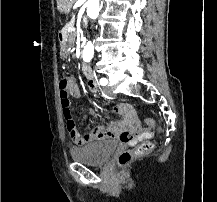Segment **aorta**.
<instances>
[{"instance_id": "obj_1", "label": "aorta", "mask_w": 217, "mask_h": 202, "mask_svg": "<svg viewBox=\"0 0 217 202\" xmlns=\"http://www.w3.org/2000/svg\"><path fill=\"white\" fill-rule=\"evenodd\" d=\"M100 0H88L86 2L87 6V16L91 18V20H96L99 16L100 12V6H99ZM94 54V46L92 42H87L84 50H83V60L84 62H90L92 60Z\"/></svg>"}]
</instances>
